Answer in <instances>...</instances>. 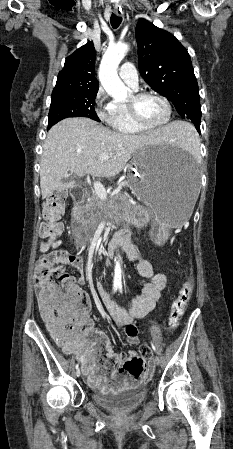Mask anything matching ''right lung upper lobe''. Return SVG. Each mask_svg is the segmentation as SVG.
Segmentation results:
<instances>
[{"label": "right lung upper lobe", "instance_id": "right-lung-upper-lobe-1", "mask_svg": "<svg viewBox=\"0 0 233 449\" xmlns=\"http://www.w3.org/2000/svg\"><path fill=\"white\" fill-rule=\"evenodd\" d=\"M95 57L92 42L67 57L52 94L98 91L99 83L94 75Z\"/></svg>", "mask_w": 233, "mask_h": 449}]
</instances>
